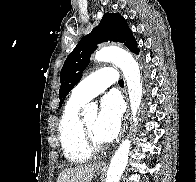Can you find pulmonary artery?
Masks as SVG:
<instances>
[{
  "mask_svg": "<svg viewBox=\"0 0 196 182\" xmlns=\"http://www.w3.org/2000/svg\"><path fill=\"white\" fill-rule=\"evenodd\" d=\"M118 76L111 67H102L81 81L72 91V97L87 102L116 83Z\"/></svg>",
  "mask_w": 196,
  "mask_h": 182,
  "instance_id": "e3ab8cb5",
  "label": "pulmonary artery"
}]
</instances>
